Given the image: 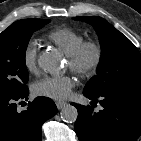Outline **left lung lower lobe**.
<instances>
[{
  "label": "left lung lower lobe",
  "mask_w": 141,
  "mask_h": 141,
  "mask_svg": "<svg viewBox=\"0 0 141 141\" xmlns=\"http://www.w3.org/2000/svg\"><path fill=\"white\" fill-rule=\"evenodd\" d=\"M100 102L98 113L92 107L74 105L78 110L75 131L79 141H136L141 135V92L111 89L100 95L83 92Z\"/></svg>",
  "instance_id": "obj_1"
}]
</instances>
